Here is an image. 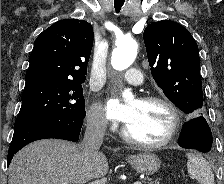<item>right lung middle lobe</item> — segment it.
<instances>
[{"mask_svg":"<svg viewBox=\"0 0 224 184\" xmlns=\"http://www.w3.org/2000/svg\"><path fill=\"white\" fill-rule=\"evenodd\" d=\"M81 83L42 80L25 84L14 129L42 118L83 120L86 113Z\"/></svg>","mask_w":224,"mask_h":184,"instance_id":"obj_1","label":"right lung middle lobe"}]
</instances>
